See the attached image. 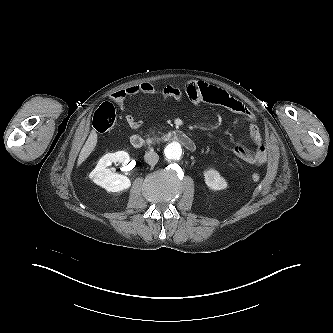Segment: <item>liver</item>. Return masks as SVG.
I'll list each match as a JSON object with an SVG mask.
<instances>
[{"label":"liver","mask_w":333,"mask_h":333,"mask_svg":"<svg viewBox=\"0 0 333 333\" xmlns=\"http://www.w3.org/2000/svg\"><path fill=\"white\" fill-rule=\"evenodd\" d=\"M97 144V133L95 130H92L87 141L85 142L83 148L80 151L77 165L80 166L91 154Z\"/></svg>","instance_id":"liver-1"}]
</instances>
